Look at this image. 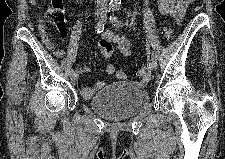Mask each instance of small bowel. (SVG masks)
Masks as SVG:
<instances>
[{
    "label": "small bowel",
    "instance_id": "1",
    "mask_svg": "<svg viewBox=\"0 0 225 159\" xmlns=\"http://www.w3.org/2000/svg\"><path fill=\"white\" fill-rule=\"evenodd\" d=\"M37 0H32V5H36ZM189 1L188 0H157V7L160 13L166 15L171 14L175 17L177 23H180L184 13L188 7ZM39 31L42 37V40L46 47L54 51L55 55L60 57L63 55V52L57 48L56 44L53 40L49 37V35L45 31V26L42 20L39 21ZM60 37L62 40L66 38V28H58ZM116 45L117 49L120 53L126 57H130L132 55L131 50V41L125 36H119L110 30H105L102 33V38L99 42V47L102 50L104 46L112 47V45ZM76 69L81 73H86L89 69L82 65H77ZM107 73L116 77L117 79H124L126 74L125 70L122 68H116L112 64H108L106 67ZM103 86L102 82H98L94 87H82L81 93L84 98H91L94 93L99 90Z\"/></svg>",
    "mask_w": 225,
    "mask_h": 159
}]
</instances>
